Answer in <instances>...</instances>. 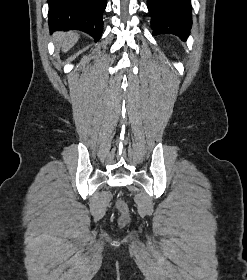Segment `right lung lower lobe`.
<instances>
[{
	"label": "right lung lower lobe",
	"mask_w": 247,
	"mask_h": 280,
	"mask_svg": "<svg viewBox=\"0 0 247 280\" xmlns=\"http://www.w3.org/2000/svg\"><path fill=\"white\" fill-rule=\"evenodd\" d=\"M49 29L68 31L77 29L98 41L102 35V14L106 0H48Z\"/></svg>",
	"instance_id": "right-lung-lower-lobe-1"
}]
</instances>
